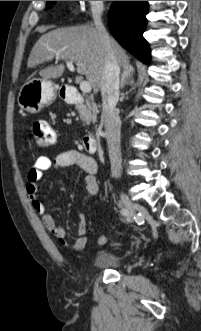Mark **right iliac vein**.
Instances as JSON below:
<instances>
[{
	"instance_id": "obj_1",
	"label": "right iliac vein",
	"mask_w": 201,
	"mask_h": 331,
	"mask_svg": "<svg viewBox=\"0 0 201 331\" xmlns=\"http://www.w3.org/2000/svg\"><path fill=\"white\" fill-rule=\"evenodd\" d=\"M120 197L125 207V210L127 211L126 213L127 221L132 222L135 216L136 205L129 199V197L125 193L121 192Z\"/></svg>"
}]
</instances>
